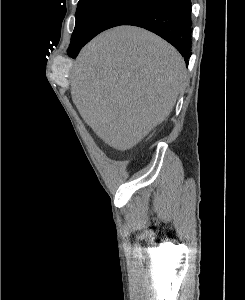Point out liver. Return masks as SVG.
<instances>
[{
    "mask_svg": "<svg viewBox=\"0 0 245 300\" xmlns=\"http://www.w3.org/2000/svg\"><path fill=\"white\" fill-rule=\"evenodd\" d=\"M83 120L109 146H136L172 111L186 84L183 58L157 35L134 26L109 29L90 41L70 75Z\"/></svg>",
    "mask_w": 245,
    "mask_h": 300,
    "instance_id": "liver-1",
    "label": "liver"
}]
</instances>
